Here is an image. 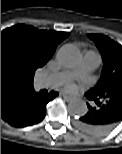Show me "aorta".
I'll use <instances>...</instances> for the list:
<instances>
[{"instance_id": "762f6f07", "label": "aorta", "mask_w": 122, "mask_h": 154, "mask_svg": "<svg viewBox=\"0 0 122 154\" xmlns=\"http://www.w3.org/2000/svg\"><path fill=\"white\" fill-rule=\"evenodd\" d=\"M80 59L78 48L73 45L61 47L57 53V60L66 67H73ZM87 105L84 101L74 99L68 104V112L72 116H82L87 113Z\"/></svg>"}]
</instances>
